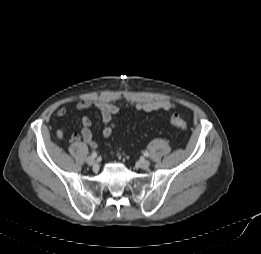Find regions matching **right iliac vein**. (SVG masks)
Listing matches in <instances>:
<instances>
[{
  "instance_id": "63e3f726",
  "label": "right iliac vein",
  "mask_w": 261,
  "mask_h": 254,
  "mask_svg": "<svg viewBox=\"0 0 261 254\" xmlns=\"http://www.w3.org/2000/svg\"><path fill=\"white\" fill-rule=\"evenodd\" d=\"M86 163H87L88 165H90V166L96 167V160H95V158L92 157V156H88V157L86 158Z\"/></svg>"
}]
</instances>
